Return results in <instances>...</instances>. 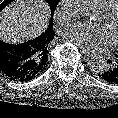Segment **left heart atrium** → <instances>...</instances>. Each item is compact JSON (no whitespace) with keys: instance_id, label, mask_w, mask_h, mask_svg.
<instances>
[{"instance_id":"39dd6f15","label":"left heart atrium","mask_w":118,"mask_h":118,"mask_svg":"<svg viewBox=\"0 0 118 118\" xmlns=\"http://www.w3.org/2000/svg\"><path fill=\"white\" fill-rule=\"evenodd\" d=\"M64 37L88 51H100L113 44V38L105 25L78 22L66 27Z\"/></svg>"}]
</instances>
